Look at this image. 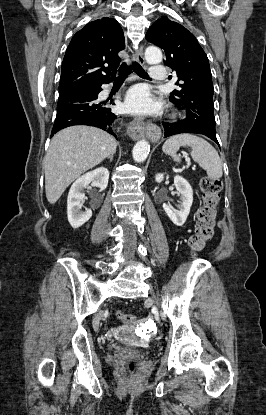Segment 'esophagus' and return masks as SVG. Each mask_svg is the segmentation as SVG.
<instances>
[{"mask_svg":"<svg viewBox=\"0 0 266 415\" xmlns=\"http://www.w3.org/2000/svg\"><path fill=\"white\" fill-rule=\"evenodd\" d=\"M134 59L141 65L145 64L142 46L135 51ZM144 130L145 122L142 118H134L127 128V132L132 139H138L141 137L144 134Z\"/></svg>","mask_w":266,"mask_h":415,"instance_id":"esophagus-1","label":"esophagus"}]
</instances>
